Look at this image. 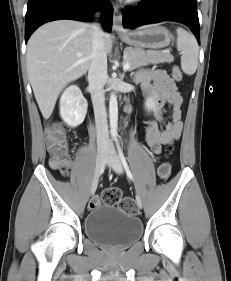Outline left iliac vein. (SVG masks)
I'll return each mask as SVG.
<instances>
[{"label":"left iliac vein","mask_w":231,"mask_h":281,"mask_svg":"<svg viewBox=\"0 0 231 281\" xmlns=\"http://www.w3.org/2000/svg\"><path fill=\"white\" fill-rule=\"evenodd\" d=\"M109 156L107 157V165L115 173L121 175L123 173V166L112 144L108 146ZM137 205L142 208V200L139 195L136 197Z\"/></svg>","instance_id":"left-iliac-vein-1"}]
</instances>
